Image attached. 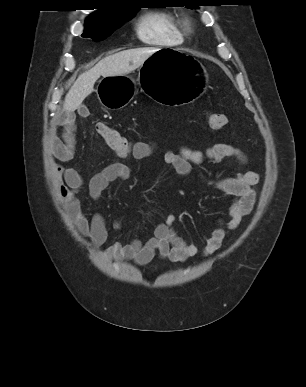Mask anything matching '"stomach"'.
I'll return each instance as SVG.
<instances>
[{"instance_id": "0dacf381", "label": "stomach", "mask_w": 306, "mask_h": 387, "mask_svg": "<svg viewBox=\"0 0 306 387\" xmlns=\"http://www.w3.org/2000/svg\"><path fill=\"white\" fill-rule=\"evenodd\" d=\"M138 71L137 82L141 84L125 75L104 77L97 92L102 105L124 107L134 91H147L161 108H188L208 83L203 65L173 46H158Z\"/></svg>"}]
</instances>
